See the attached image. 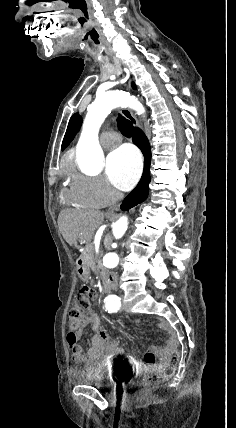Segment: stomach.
I'll return each mask as SVG.
<instances>
[{"instance_id": "obj_1", "label": "stomach", "mask_w": 236, "mask_h": 428, "mask_svg": "<svg viewBox=\"0 0 236 428\" xmlns=\"http://www.w3.org/2000/svg\"><path fill=\"white\" fill-rule=\"evenodd\" d=\"M77 274H78V278L82 279L83 283H92L93 282V275L91 274L89 265L78 266L77 267Z\"/></svg>"}]
</instances>
